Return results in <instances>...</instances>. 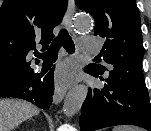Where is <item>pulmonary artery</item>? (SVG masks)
Segmentation results:
<instances>
[{"mask_svg": "<svg viewBox=\"0 0 151 131\" xmlns=\"http://www.w3.org/2000/svg\"><path fill=\"white\" fill-rule=\"evenodd\" d=\"M99 46V41L93 37H82L80 40V49L84 52H94Z\"/></svg>", "mask_w": 151, "mask_h": 131, "instance_id": "1", "label": "pulmonary artery"}]
</instances>
